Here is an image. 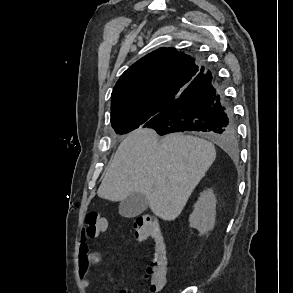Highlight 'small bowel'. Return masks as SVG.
Here are the masks:
<instances>
[{
	"label": "small bowel",
	"mask_w": 293,
	"mask_h": 293,
	"mask_svg": "<svg viewBox=\"0 0 293 293\" xmlns=\"http://www.w3.org/2000/svg\"><path fill=\"white\" fill-rule=\"evenodd\" d=\"M107 229L103 232H106ZM101 262L102 255L99 252L90 251L87 237L85 235H81L79 239L78 271L80 276L82 277V286L85 289H88L91 286L90 281L85 278V276L90 271V267L92 265H98ZM119 293H127V290L122 289Z\"/></svg>",
	"instance_id": "c3829d8e"
}]
</instances>
